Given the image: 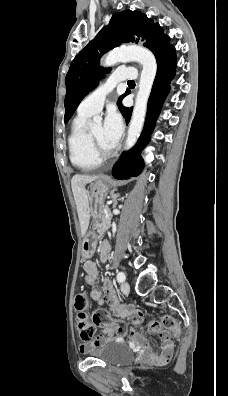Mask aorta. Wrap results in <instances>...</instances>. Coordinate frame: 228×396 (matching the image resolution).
Instances as JSON below:
<instances>
[{"mask_svg": "<svg viewBox=\"0 0 228 396\" xmlns=\"http://www.w3.org/2000/svg\"><path fill=\"white\" fill-rule=\"evenodd\" d=\"M127 61H136L142 65L143 69L128 128L125 150L132 148L140 136L146 116L148 99L157 73V63L153 53L140 46H127L111 51L102 61V65L104 67H111L119 62ZM100 123L101 118L94 117L89 125L93 126Z\"/></svg>", "mask_w": 228, "mask_h": 396, "instance_id": "762f6f07", "label": "aorta"}]
</instances>
